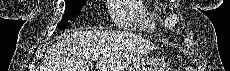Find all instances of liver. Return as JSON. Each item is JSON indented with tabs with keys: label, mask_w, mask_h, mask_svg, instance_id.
I'll use <instances>...</instances> for the list:
<instances>
[{
	"label": "liver",
	"mask_w": 230,
	"mask_h": 71,
	"mask_svg": "<svg viewBox=\"0 0 230 71\" xmlns=\"http://www.w3.org/2000/svg\"><path fill=\"white\" fill-rule=\"evenodd\" d=\"M153 49L150 41L128 32L76 30L46 51L40 71H94V59L97 71H122Z\"/></svg>",
	"instance_id": "1"
}]
</instances>
